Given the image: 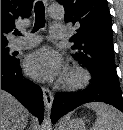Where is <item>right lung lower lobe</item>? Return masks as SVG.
<instances>
[{
	"instance_id": "right-lung-lower-lobe-1",
	"label": "right lung lower lobe",
	"mask_w": 123,
	"mask_h": 130,
	"mask_svg": "<svg viewBox=\"0 0 123 130\" xmlns=\"http://www.w3.org/2000/svg\"><path fill=\"white\" fill-rule=\"evenodd\" d=\"M1 89L18 99L41 123L44 103L41 88L22 75L19 60L1 58Z\"/></svg>"
}]
</instances>
